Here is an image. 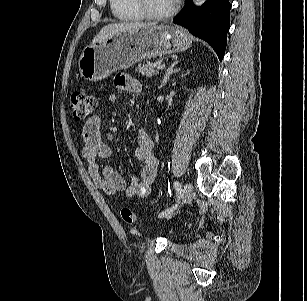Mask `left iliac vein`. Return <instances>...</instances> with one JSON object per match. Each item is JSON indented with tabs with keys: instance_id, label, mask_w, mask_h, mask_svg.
<instances>
[{
	"instance_id": "1",
	"label": "left iliac vein",
	"mask_w": 307,
	"mask_h": 301,
	"mask_svg": "<svg viewBox=\"0 0 307 301\" xmlns=\"http://www.w3.org/2000/svg\"><path fill=\"white\" fill-rule=\"evenodd\" d=\"M182 200H183V203L185 204L190 203L192 200V186L190 183L184 184L183 191H182ZM172 215H173V212L168 214L166 217L170 218L172 217Z\"/></svg>"
}]
</instances>
